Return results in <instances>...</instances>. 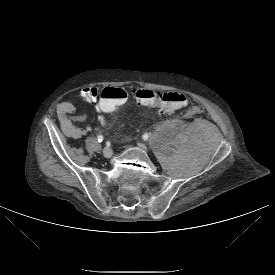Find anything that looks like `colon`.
I'll list each match as a JSON object with an SVG mask.
<instances>
[{
  "label": "colon",
  "instance_id": "obj_1",
  "mask_svg": "<svg viewBox=\"0 0 275 275\" xmlns=\"http://www.w3.org/2000/svg\"><path fill=\"white\" fill-rule=\"evenodd\" d=\"M128 92L122 88H105L97 100L96 106L101 115L107 116L113 112L115 105L123 104L128 98ZM133 99L147 106H158L162 112L168 113L187 104V97L179 92H156L154 90L136 88L131 91Z\"/></svg>",
  "mask_w": 275,
  "mask_h": 275
}]
</instances>
